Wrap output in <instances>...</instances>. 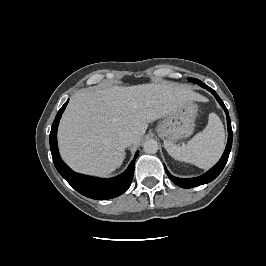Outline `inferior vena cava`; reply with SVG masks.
I'll return each mask as SVG.
<instances>
[{
    "instance_id": "inferior-vena-cava-1",
    "label": "inferior vena cava",
    "mask_w": 266,
    "mask_h": 266,
    "mask_svg": "<svg viewBox=\"0 0 266 266\" xmlns=\"http://www.w3.org/2000/svg\"><path fill=\"white\" fill-rule=\"evenodd\" d=\"M121 141L126 147H128L133 143L134 138L131 134H124L122 135Z\"/></svg>"
}]
</instances>
